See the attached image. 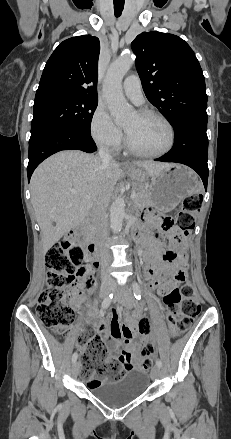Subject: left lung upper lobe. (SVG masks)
I'll return each mask as SVG.
<instances>
[{"instance_id":"5c2ea615","label":"left lung upper lobe","mask_w":231,"mask_h":439,"mask_svg":"<svg viewBox=\"0 0 231 439\" xmlns=\"http://www.w3.org/2000/svg\"><path fill=\"white\" fill-rule=\"evenodd\" d=\"M144 93L175 129L193 114H207L205 79L190 46L180 37L143 32L131 43Z\"/></svg>"}]
</instances>
